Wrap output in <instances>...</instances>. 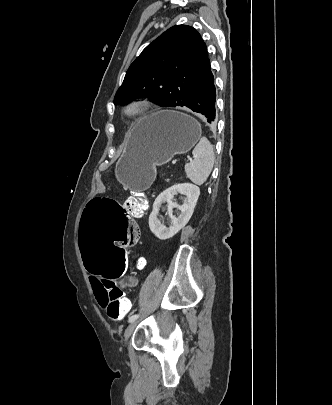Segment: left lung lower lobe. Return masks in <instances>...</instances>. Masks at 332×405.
<instances>
[{
	"instance_id": "0a47b994",
	"label": "left lung lower lobe",
	"mask_w": 332,
	"mask_h": 405,
	"mask_svg": "<svg viewBox=\"0 0 332 405\" xmlns=\"http://www.w3.org/2000/svg\"><path fill=\"white\" fill-rule=\"evenodd\" d=\"M215 101L214 76L209 61L198 77L192 91L191 100L186 107L199 113L208 123H216Z\"/></svg>"
}]
</instances>
